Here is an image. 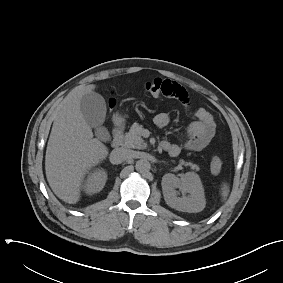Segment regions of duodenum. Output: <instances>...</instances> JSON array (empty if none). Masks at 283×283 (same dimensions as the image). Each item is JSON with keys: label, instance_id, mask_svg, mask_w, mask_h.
Segmentation results:
<instances>
[{"label": "duodenum", "instance_id": "duodenum-1", "mask_svg": "<svg viewBox=\"0 0 283 283\" xmlns=\"http://www.w3.org/2000/svg\"><path fill=\"white\" fill-rule=\"evenodd\" d=\"M123 143V127L121 124L115 126L113 130V139L111 145L113 148H118Z\"/></svg>", "mask_w": 283, "mask_h": 283}]
</instances>
